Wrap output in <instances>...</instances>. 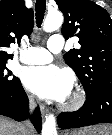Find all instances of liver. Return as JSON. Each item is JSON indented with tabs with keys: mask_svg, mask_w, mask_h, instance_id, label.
I'll list each match as a JSON object with an SVG mask.
<instances>
[{
	"mask_svg": "<svg viewBox=\"0 0 112 135\" xmlns=\"http://www.w3.org/2000/svg\"><path fill=\"white\" fill-rule=\"evenodd\" d=\"M20 123L0 116V135H24Z\"/></svg>",
	"mask_w": 112,
	"mask_h": 135,
	"instance_id": "1",
	"label": "liver"
}]
</instances>
